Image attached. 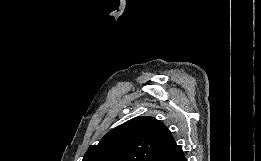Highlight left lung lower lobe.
I'll use <instances>...</instances> for the list:
<instances>
[{"instance_id":"1","label":"left lung lower lobe","mask_w":261,"mask_h":161,"mask_svg":"<svg viewBox=\"0 0 261 161\" xmlns=\"http://www.w3.org/2000/svg\"><path fill=\"white\" fill-rule=\"evenodd\" d=\"M151 161H187L180 145L174 141L168 147L162 148Z\"/></svg>"}]
</instances>
